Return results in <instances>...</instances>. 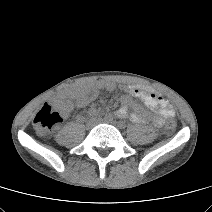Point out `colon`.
I'll return each mask as SVG.
<instances>
[{
	"label": "colon",
	"mask_w": 212,
	"mask_h": 212,
	"mask_svg": "<svg viewBox=\"0 0 212 212\" xmlns=\"http://www.w3.org/2000/svg\"><path fill=\"white\" fill-rule=\"evenodd\" d=\"M62 121V115L59 110L51 104L46 103L37 112L33 119V126L36 132L40 135H47L53 131ZM166 128L173 131L176 128V122L169 120L166 123Z\"/></svg>",
	"instance_id": "colon-1"
}]
</instances>
